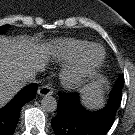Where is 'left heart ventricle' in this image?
Instances as JSON below:
<instances>
[{
    "instance_id": "1",
    "label": "left heart ventricle",
    "mask_w": 135,
    "mask_h": 135,
    "mask_svg": "<svg viewBox=\"0 0 135 135\" xmlns=\"http://www.w3.org/2000/svg\"><path fill=\"white\" fill-rule=\"evenodd\" d=\"M92 56L94 59L98 58L100 56V50L99 49H94L92 52Z\"/></svg>"
}]
</instances>
